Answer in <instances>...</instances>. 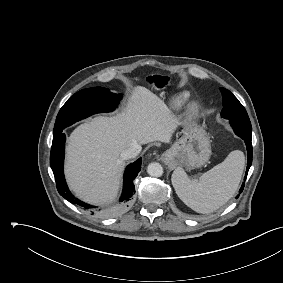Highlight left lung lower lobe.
<instances>
[{"instance_id":"0a47b994","label":"left lung lower lobe","mask_w":283,"mask_h":283,"mask_svg":"<svg viewBox=\"0 0 283 283\" xmlns=\"http://www.w3.org/2000/svg\"><path fill=\"white\" fill-rule=\"evenodd\" d=\"M241 129L242 130L239 131V137H241L245 141V144H246V147H247L248 161H247V168H246V173H245V176H247L249 168L251 167V164H252V155H253L252 143H251L252 128H251V126H249V127H245V128H241ZM244 184L245 183L243 182V184H242V186L239 190L240 191L239 193H241L243 191ZM237 197H239V194L237 195Z\"/></svg>"}]
</instances>
